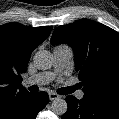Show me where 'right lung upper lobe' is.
<instances>
[{
    "mask_svg": "<svg viewBox=\"0 0 119 119\" xmlns=\"http://www.w3.org/2000/svg\"><path fill=\"white\" fill-rule=\"evenodd\" d=\"M51 26L31 28L18 23L0 26V119H10L31 96L21 85L31 52L50 34Z\"/></svg>",
    "mask_w": 119,
    "mask_h": 119,
    "instance_id": "cb5924a9",
    "label": "right lung upper lobe"
}]
</instances>
